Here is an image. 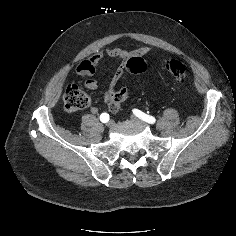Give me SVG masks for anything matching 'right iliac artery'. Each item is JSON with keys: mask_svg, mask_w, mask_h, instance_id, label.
Listing matches in <instances>:
<instances>
[{"mask_svg": "<svg viewBox=\"0 0 236 236\" xmlns=\"http://www.w3.org/2000/svg\"><path fill=\"white\" fill-rule=\"evenodd\" d=\"M100 120H101V122H103V123L108 122V121H109V114L106 113V112L102 113V114L100 115Z\"/></svg>", "mask_w": 236, "mask_h": 236, "instance_id": "82829eb1", "label": "right iliac artery"}]
</instances>
